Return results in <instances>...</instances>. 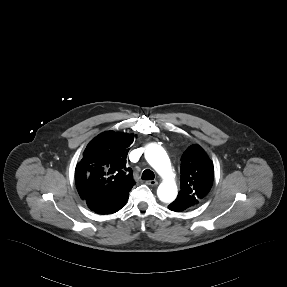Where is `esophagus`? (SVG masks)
I'll list each match as a JSON object with an SVG mask.
<instances>
[{"label": "esophagus", "instance_id": "1", "mask_svg": "<svg viewBox=\"0 0 287 287\" xmlns=\"http://www.w3.org/2000/svg\"><path fill=\"white\" fill-rule=\"evenodd\" d=\"M146 184L150 186H156L158 185V182L156 180H148L146 181Z\"/></svg>", "mask_w": 287, "mask_h": 287}]
</instances>
